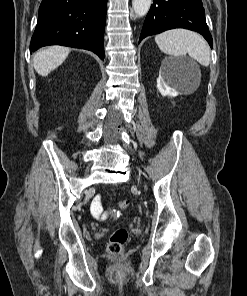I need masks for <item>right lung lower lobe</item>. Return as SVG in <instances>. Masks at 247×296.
<instances>
[{
  "instance_id": "obj_1",
  "label": "right lung lower lobe",
  "mask_w": 247,
  "mask_h": 296,
  "mask_svg": "<svg viewBox=\"0 0 247 296\" xmlns=\"http://www.w3.org/2000/svg\"><path fill=\"white\" fill-rule=\"evenodd\" d=\"M107 0H42L30 52L63 45L104 54Z\"/></svg>"
}]
</instances>
